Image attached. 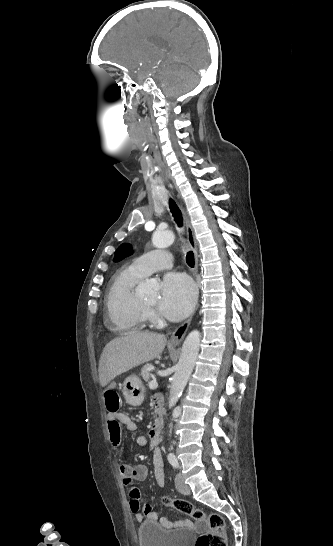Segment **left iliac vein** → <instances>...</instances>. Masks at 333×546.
I'll return each mask as SVG.
<instances>
[{
	"mask_svg": "<svg viewBox=\"0 0 333 546\" xmlns=\"http://www.w3.org/2000/svg\"><path fill=\"white\" fill-rule=\"evenodd\" d=\"M175 486L180 493H190V488L187 484H185L184 479L180 473H178L175 477Z\"/></svg>",
	"mask_w": 333,
	"mask_h": 546,
	"instance_id": "left-iliac-vein-1",
	"label": "left iliac vein"
}]
</instances>
